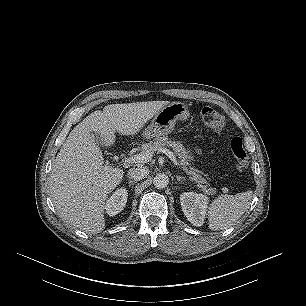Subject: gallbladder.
I'll list each match as a JSON object with an SVG mask.
<instances>
[{
    "instance_id": "bac80fb5",
    "label": "gallbladder",
    "mask_w": 306,
    "mask_h": 306,
    "mask_svg": "<svg viewBox=\"0 0 306 306\" xmlns=\"http://www.w3.org/2000/svg\"><path fill=\"white\" fill-rule=\"evenodd\" d=\"M93 137H94V141L95 143L100 146V145H104L102 137L100 136V134L98 133H93Z\"/></svg>"
}]
</instances>
